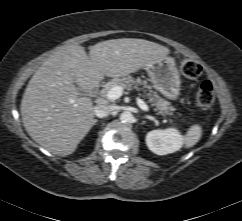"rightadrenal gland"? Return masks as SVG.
Returning <instances> with one entry per match:
<instances>
[{
  "label": "right adrenal gland",
  "mask_w": 242,
  "mask_h": 221,
  "mask_svg": "<svg viewBox=\"0 0 242 221\" xmlns=\"http://www.w3.org/2000/svg\"><path fill=\"white\" fill-rule=\"evenodd\" d=\"M97 122H98V120H97V119H95V120H94V125H95Z\"/></svg>",
  "instance_id": "obj_1"
}]
</instances>
